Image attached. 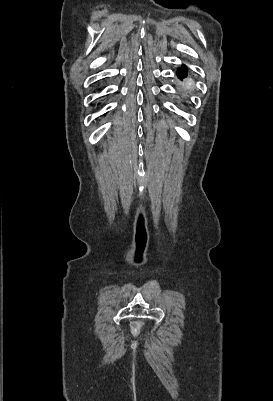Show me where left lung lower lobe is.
I'll use <instances>...</instances> for the list:
<instances>
[{
	"mask_svg": "<svg viewBox=\"0 0 273 401\" xmlns=\"http://www.w3.org/2000/svg\"><path fill=\"white\" fill-rule=\"evenodd\" d=\"M177 76H178V78H180L181 80H182L183 78H186V77H187L186 67H185V66L183 67V69H179V70L177 71Z\"/></svg>",
	"mask_w": 273,
	"mask_h": 401,
	"instance_id": "1",
	"label": "left lung lower lobe"
}]
</instances>
